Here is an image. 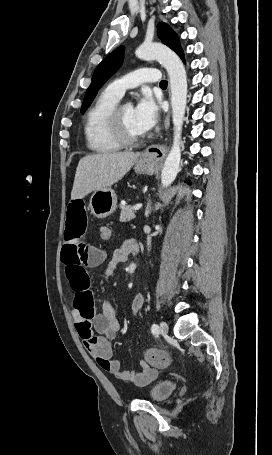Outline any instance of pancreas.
I'll use <instances>...</instances> for the list:
<instances>
[{"label": "pancreas", "mask_w": 272, "mask_h": 455, "mask_svg": "<svg viewBox=\"0 0 272 455\" xmlns=\"http://www.w3.org/2000/svg\"><path fill=\"white\" fill-rule=\"evenodd\" d=\"M135 218V212L132 206L129 205H122L121 212H120V221L121 222H128Z\"/></svg>", "instance_id": "1"}]
</instances>
